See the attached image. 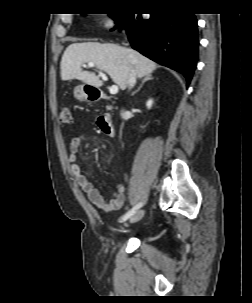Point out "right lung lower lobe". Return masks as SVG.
Listing matches in <instances>:
<instances>
[{"instance_id": "98d812e1", "label": "right lung lower lobe", "mask_w": 252, "mask_h": 303, "mask_svg": "<svg viewBox=\"0 0 252 303\" xmlns=\"http://www.w3.org/2000/svg\"><path fill=\"white\" fill-rule=\"evenodd\" d=\"M118 26L126 29L135 50L182 73L190 83L199 44L194 14L165 12L146 18L132 13L126 15Z\"/></svg>"}]
</instances>
